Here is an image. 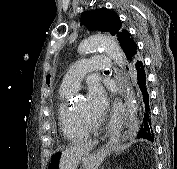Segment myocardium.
Returning a JSON list of instances; mask_svg holds the SVG:
<instances>
[{
    "label": "myocardium",
    "instance_id": "f54148a6",
    "mask_svg": "<svg viewBox=\"0 0 177 169\" xmlns=\"http://www.w3.org/2000/svg\"><path fill=\"white\" fill-rule=\"evenodd\" d=\"M73 113H74V116L79 126L87 133H91V132H95L99 130L105 122L104 115L101 117L99 121L90 122L86 118H84L82 115H80L75 109H73Z\"/></svg>",
    "mask_w": 177,
    "mask_h": 169
}]
</instances>
